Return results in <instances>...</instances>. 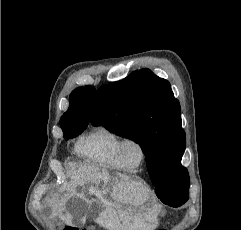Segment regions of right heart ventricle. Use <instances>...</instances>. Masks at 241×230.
<instances>
[{"label":"right heart ventricle","instance_id":"obj_1","mask_svg":"<svg viewBox=\"0 0 241 230\" xmlns=\"http://www.w3.org/2000/svg\"><path fill=\"white\" fill-rule=\"evenodd\" d=\"M121 135L99 125L85 134L76 146L78 155L85 161L119 170H126L119 161L117 148Z\"/></svg>","mask_w":241,"mask_h":230}]
</instances>
